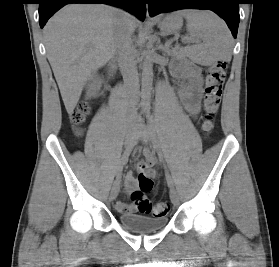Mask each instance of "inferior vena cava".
Returning <instances> with one entry per match:
<instances>
[{"instance_id":"inferior-vena-cava-1","label":"inferior vena cava","mask_w":279,"mask_h":267,"mask_svg":"<svg viewBox=\"0 0 279 267\" xmlns=\"http://www.w3.org/2000/svg\"><path fill=\"white\" fill-rule=\"evenodd\" d=\"M122 19L117 23L114 31V43L117 54L120 59L124 83L129 93L135 98L138 89V72L135 62V48L132 42V34L134 32L129 23L130 15L124 11Z\"/></svg>"}]
</instances>
